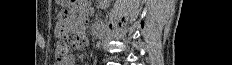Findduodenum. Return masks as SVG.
<instances>
[{
  "mask_svg": "<svg viewBox=\"0 0 232 65\" xmlns=\"http://www.w3.org/2000/svg\"><path fill=\"white\" fill-rule=\"evenodd\" d=\"M78 28H79V33L83 34L86 29V21L83 17L79 21Z\"/></svg>",
  "mask_w": 232,
  "mask_h": 65,
  "instance_id": "duodenum-1",
  "label": "duodenum"
}]
</instances>
